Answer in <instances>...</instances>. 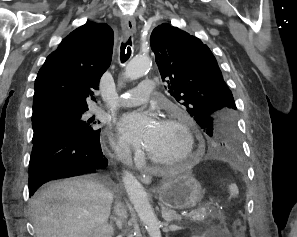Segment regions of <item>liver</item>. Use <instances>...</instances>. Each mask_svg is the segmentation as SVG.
I'll return each mask as SVG.
<instances>
[{"label":"liver","instance_id":"liver-1","mask_svg":"<svg viewBox=\"0 0 297 237\" xmlns=\"http://www.w3.org/2000/svg\"><path fill=\"white\" fill-rule=\"evenodd\" d=\"M112 201L113 192L88 177L51 182L30 201L36 237H89L107 222Z\"/></svg>","mask_w":297,"mask_h":237}]
</instances>
